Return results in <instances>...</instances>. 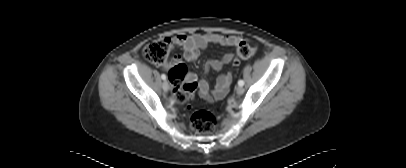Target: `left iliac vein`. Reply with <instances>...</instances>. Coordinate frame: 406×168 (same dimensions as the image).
<instances>
[{"instance_id":"left-iliac-vein-1","label":"left iliac vein","mask_w":406,"mask_h":168,"mask_svg":"<svg viewBox=\"0 0 406 168\" xmlns=\"http://www.w3.org/2000/svg\"><path fill=\"white\" fill-rule=\"evenodd\" d=\"M236 93H237L238 95H242V94L244 93V88H243L242 86H238V87L236 88Z\"/></svg>"}]
</instances>
